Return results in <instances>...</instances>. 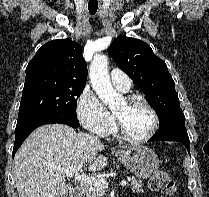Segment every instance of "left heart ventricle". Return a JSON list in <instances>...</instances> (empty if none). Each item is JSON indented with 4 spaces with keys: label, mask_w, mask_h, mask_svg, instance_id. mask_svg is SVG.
Returning <instances> with one entry per match:
<instances>
[{
    "label": "left heart ventricle",
    "mask_w": 209,
    "mask_h": 197,
    "mask_svg": "<svg viewBox=\"0 0 209 197\" xmlns=\"http://www.w3.org/2000/svg\"><path fill=\"white\" fill-rule=\"evenodd\" d=\"M114 114L118 117L125 132L132 137H142L152 125V116L149 110L140 102H120Z\"/></svg>",
    "instance_id": "1"
}]
</instances>
